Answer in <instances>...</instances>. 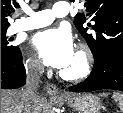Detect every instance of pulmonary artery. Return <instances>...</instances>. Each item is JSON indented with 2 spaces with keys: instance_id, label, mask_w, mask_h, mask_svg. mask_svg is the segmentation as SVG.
<instances>
[{
  "instance_id": "pulmonary-artery-1",
  "label": "pulmonary artery",
  "mask_w": 123,
  "mask_h": 113,
  "mask_svg": "<svg viewBox=\"0 0 123 113\" xmlns=\"http://www.w3.org/2000/svg\"><path fill=\"white\" fill-rule=\"evenodd\" d=\"M70 11L67 2H56L50 10L33 11L30 8L25 9L26 18L17 20L13 24L15 31L32 30L44 27L53 22L56 17H64Z\"/></svg>"
}]
</instances>
